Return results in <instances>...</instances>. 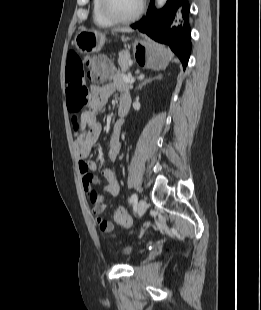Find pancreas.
I'll return each mask as SVG.
<instances>
[{
  "label": "pancreas",
  "instance_id": "obj_1",
  "mask_svg": "<svg viewBox=\"0 0 261 310\" xmlns=\"http://www.w3.org/2000/svg\"><path fill=\"white\" fill-rule=\"evenodd\" d=\"M118 63L121 67L122 72H126L128 70L129 66L132 64V61H131L127 52L122 51L119 53ZM137 73H138V71H137ZM116 78L120 80V84H121L120 89L121 90H126V89L131 88L130 84H127V83L122 81L120 74H118L116 76Z\"/></svg>",
  "mask_w": 261,
  "mask_h": 310
}]
</instances>
